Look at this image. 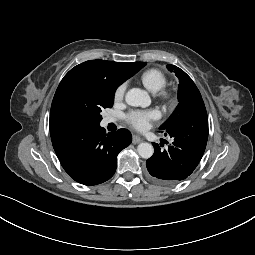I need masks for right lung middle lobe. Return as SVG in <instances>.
Segmentation results:
<instances>
[{"label": "right lung middle lobe", "instance_id": "1", "mask_svg": "<svg viewBox=\"0 0 255 255\" xmlns=\"http://www.w3.org/2000/svg\"><path fill=\"white\" fill-rule=\"evenodd\" d=\"M116 88L101 78L65 75L52 101L50 122L59 125H99L101 111L113 106Z\"/></svg>", "mask_w": 255, "mask_h": 255}]
</instances>
